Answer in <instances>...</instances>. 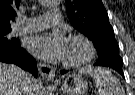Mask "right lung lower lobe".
I'll list each match as a JSON object with an SVG mask.
<instances>
[{
	"mask_svg": "<svg viewBox=\"0 0 135 95\" xmlns=\"http://www.w3.org/2000/svg\"><path fill=\"white\" fill-rule=\"evenodd\" d=\"M0 61L16 64L22 69L32 73L34 77H37L36 61L20 46L19 39H15L10 44H0Z\"/></svg>",
	"mask_w": 135,
	"mask_h": 95,
	"instance_id": "1",
	"label": "right lung lower lobe"
}]
</instances>
